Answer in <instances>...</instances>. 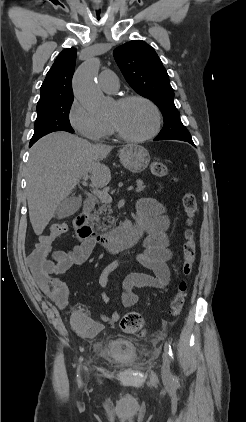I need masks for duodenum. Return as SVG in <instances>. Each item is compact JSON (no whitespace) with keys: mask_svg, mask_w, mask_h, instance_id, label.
I'll return each mask as SVG.
<instances>
[{"mask_svg":"<svg viewBox=\"0 0 246 422\" xmlns=\"http://www.w3.org/2000/svg\"><path fill=\"white\" fill-rule=\"evenodd\" d=\"M95 206V200L88 197L84 200L82 211L74 219L77 237L82 242H92L100 245L109 253H116L133 247L141 238L142 231L138 222L127 221L120 227L100 234L90 223V214Z\"/></svg>","mask_w":246,"mask_h":422,"instance_id":"410a0bca","label":"duodenum"}]
</instances>
